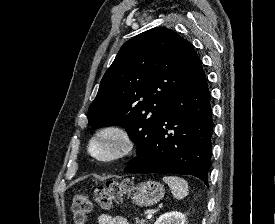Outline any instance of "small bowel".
Wrapping results in <instances>:
<instances>
[{
    "label": "small bowel",
    "instance_id": "c3829d8e",
    "mask_svg": "<svg viewBox=\"0 0 275 224\" xmlns=\"http://www.w3.org/2000/svg\"><path fill=\"white\" fill-rule=\"evenodd\" d=\"M98 224H129L128 221L121 216H111L108 214H101L98 217Z\"/></svg>",
    "mask_w": 275,
    "mask_h": 224
}]
</instances>
